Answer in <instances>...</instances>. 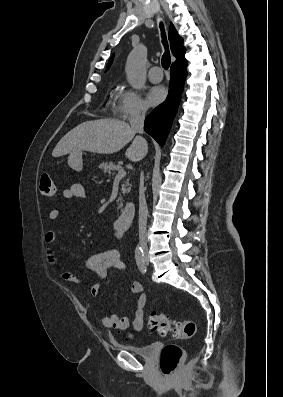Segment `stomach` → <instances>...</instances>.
<instances>
[{
    "label": "stomach",
    "instance_id": "1",
    "mask_svg": "<svg viewBox=\"0 0 283 397\" xmlns=\"http://www.w3.org/2000/svg\"><path fill=\"white\" fill-rule=\"evenodd\" d=\"M69 166L75 171H81L83 168L82 152L71 153L68 157Z\"/></svg>",
    "mask_w": 283,
    "mask_h": 397
}]
</instances>
